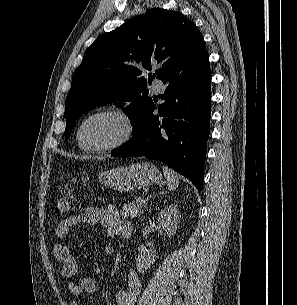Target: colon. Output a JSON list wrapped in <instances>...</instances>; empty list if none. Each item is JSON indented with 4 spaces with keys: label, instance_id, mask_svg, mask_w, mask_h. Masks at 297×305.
I'll list each match as a JSON object with an SVG mask.
<instances>
[{
    "label": "colon",
    "instance_id": "colon-1",
    "mask_svg": "<svg viewBox=\"0 0 297 305\" xmlns=\"http://www.w3.org/2000/svg\"><path fill=\"white\" fill-rule=\"evenodd\" d=\"M78 208L79 203L74 196L72 189L67 188L59 193L54 212L56 216L64 217L72 214Z\"/></svg>",
    "mask_w": 297,
    "mask_h": 305
}]
</instances>
